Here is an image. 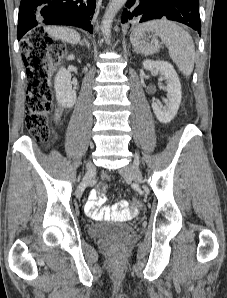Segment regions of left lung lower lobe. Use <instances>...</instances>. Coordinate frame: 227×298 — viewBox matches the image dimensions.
<instances>
[{"label":"left lung lower lobe","mask_w":227,"mask_h":298,"mask_svg":"<svg viewBox=\"0 0 227 298\" xmlns=\"http://www.w3.org/2000/svg\"><path fill=\"white\" fill-rule=\"evenodd\" d=\"M161 18L186 24L201 35L199 0H128L122 22L132 26Z\"/></svg>","instance_id":"1"}]
</instances>
